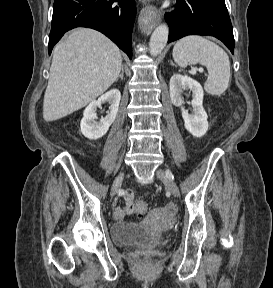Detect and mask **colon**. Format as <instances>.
I'll use <instances>...</instances> for the list:
<instances>
[{"label": "colon", "mask_w": 273, "mask_h": 288, "mask_svg": "<svg viewBox=\"0 0 273 288\" xmlns=\"http://www.w3.org/2000/svg\"><path fill=\"white\" fill-rule=\"evenodd\" d=\"M133 211L137 215H143L147 211V203L142 199H137L133 202Z\"/></svg>", "instance_id": "colon-1"}]
</instances>
